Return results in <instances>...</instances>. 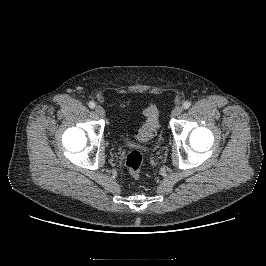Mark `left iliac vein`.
<instances>
[{
    "label": "left iliac vein",
    "instance_id": "4c4485c4",
    "mask_svg": "<svg viewBox=\"0 0 266 266\" xmlns=\"http://www.w3.org/2000/svg\"><path fill=\"white\" fill-rule=\"evenodd\" d=\"M183 112V107L182 106H176L172 112H171V116L172 117H177L179 116L181 113Z\"/></svg>",
    "mask_w": 266,
    "mask_h": 266
}]
</instances>
